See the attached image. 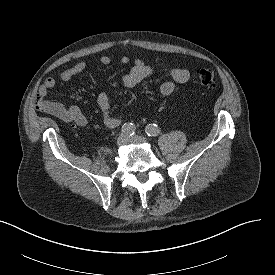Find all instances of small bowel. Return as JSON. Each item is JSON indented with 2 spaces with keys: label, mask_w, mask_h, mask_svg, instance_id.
<instances>
[{
  "label": "small bowel",
  "mask_w": 275,
  "mask_h": 275,
  "mask_svg": "<svg viewBox=\"0 0 275 275\" xmlns=\"http://www.w3.org/2000/svg\"><path fill=\"white\" fill-rule=\"evenodd\" d=\"M120 61L123 64H128L130 58L128 56H122ZM100 62L102 65H108L111 62V58L108 55H103L100 58ZM132 63V68L122 77V84L128 88L135 87L152 73V68L145 64L142 59L134 58ZM86 67L87 63L85 61H79L72 67L63 70L59 77L62 81H69L74 76L83 72ZM164 70L168 74L169 79L163 81L160 85V93L163 96H170L175 91L176 84L186 83L190 79V72L186 69L165 66ZM55 85L56 79L54 77H48L41 85L39 89V97L41 98L40 107L49 114L74 126H85L88 120L77 106H65L61 103L51 102L45 99L48 91L54 88ZM96 100L101 111L103 123L108 128H117L120 125V120L110 111L108 94L105 91H100L96 96Z\"/></svg>",
  "instance_id": "1"
}]
</instances>
